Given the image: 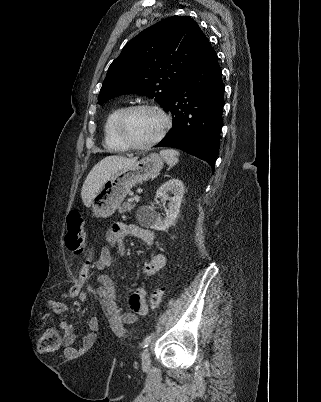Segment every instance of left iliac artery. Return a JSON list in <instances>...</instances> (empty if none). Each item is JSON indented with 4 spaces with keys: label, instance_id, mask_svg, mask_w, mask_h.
Masks as SVG:
<instances>
[{
    "label": "left iliac artery",
    "instance_id": "44dca946",
    "mask_svg": "<svg viewBox=\"0 0 321 402\" xmlns=\"http://www.w3.org/2000/svg\"><path fill=\"white\" fill-rule=\"evenodd\" d=\"M151 338H152V334L147 335V336L144 338L143 343H142L143 348L148 347L149 343L151 342Z\"/></svg>",
    "mask_w": 321,
    "mask_h": 402
}]
</instances>
